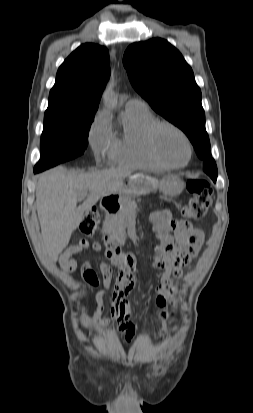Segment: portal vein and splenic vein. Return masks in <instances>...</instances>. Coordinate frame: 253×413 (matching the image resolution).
I'll use <instances>...</instances> for the list:
<instances>
[{
    "instance_id": "1",
    "label": "portal vein and splenic vein",
    "mask_w": 253,
    "mask_h": 413,
    "mask_svg": "<svg viewBox=\"0 0 253 413\" xmlns=\"http://www.w3.org/2000/svg\"><path fill=\"white\" fill-rule=\"evenodd\" d=\"M87 195V193H83L80 198H84Z\"/></svg>"
}]
</instances>
